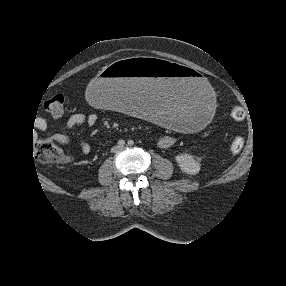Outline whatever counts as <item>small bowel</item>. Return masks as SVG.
Returning <instances> with one entry per match:
<instances>
[{"label": "small bowel", "mask_w": 286, "mask_h": 286, "mask_svg": "<svg viewBox=\"0 0 286 286\" xmlns=\"http://www.w3.org/2000/svg\"><path fill=\"white\" fill-rule=\"evenodd\" d=\"M96 122V116L95 115H81V114H75L72 115L68 118L67 120V126L68 127H74L80 124H94ZM49 125V120L48 119H41L38 123V130H44L47 128V126ZM54 140H56L57 142H59L60 144L63 145H68V144H78V146L80 147L81 151L83 154H89L91 151V146L88 142L84 141V140H80V139H75L71 136L68 135H64V134H57L54 135ZM176 138L173 135H166L163 136L160 140H159V146L161 148H170L171 146H173L175 144Z\"/></svg>", "instance_id": "obj_1"}]
</instances>
